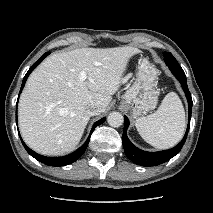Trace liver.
Wrapping results in <instances>:
<instances>
[{
	"instance_id": "obj_1",
	"label": "liver",
	"mask_w": 213,
	"mask_h": 213,
	"mask_svg": "<svg viewBox=\"0 0 213 213\" xmlns=\"http://www.w3.org/2000/svg\"><path fill=\"white\" fill-rule=\"evenodd\" d=\"M134 47L81 48L46 58L29 76L18 106L25 143L48 156L71 152L90 119L89 104L102 112L122 81ZM86 72L82 81L80 73ZM101 112V113H102Z\"/></svg>"
}]
</instances>
